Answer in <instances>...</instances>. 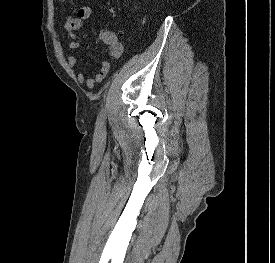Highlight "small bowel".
<instances>
[{"label":"small bowel","instance_id":"1","mask_svg":"<svg viewBox=\"0 0 275 263\" xmlns=\"http://www.w3.org/2000/svg\"><path fill=\"white\" fill-rule=\"evenodd\" d=\"M94 12V8L91 6H83L78 8L72 15L68 17L65 23V29L67 31L69 42L68 48L70 50H76L80 47V41L77 36L83 23L88 20ZM101 41L108 47L109 55L114 59H119L123 52L124 46L119 37L108 30H103L99 35ZM68 66L70 69H74L77 63V59L74 55L68 57ZM110 71V63L107 60H102L100 68L95 72L94 76L86 77L82 71L76 73V78L80 84L86 85L88 88L93 89L96 83L102 82Z\"/></svg>","mask_w":275,"mask_h":263}]
</instances>
